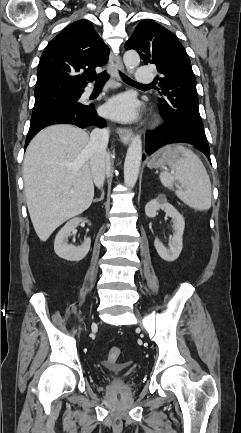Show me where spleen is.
<instances>
[{
	"label": "spleen",
	"instance_id": "obj_1",
	"mask_svg": "<svg viewBox=\"0 0 241 433\" xmlns=\"http://www.w3.org/2000/svg\"><path fill=\"white\" fill-rule=\"evenodd\" d=\"M172 150L181 156L169 164L175 171L174 175L167 171L160 173L161 183L173 190L174 181H178L183 189L176 190L175 193L182 202L195 210H209L212 198L211 182L201 159L183 146H176Z\"/></svg>",
	"mask_w": 241,
	"mask_h": 433
}]
</instances>
